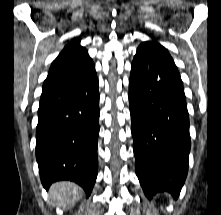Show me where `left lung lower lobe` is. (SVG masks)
<instances>
[{
    "label": "left lung lower lobe",
    "mask_w": 221,
    "mask_h": 215,
    "mask_svg": "<svg viewBox=\"0 0 221 215\" xmlns=\"http://www.w3.org/2000/svg\"><path fill=\"white\" fill-rule=\"evenodd\" d=\"M136 174L148 198L168 191L177 199L188 173L189 114L183 83L159 44L138 48L129 80Z\"/></svg>",
    "instance_id": "1"
}]
</instances>
